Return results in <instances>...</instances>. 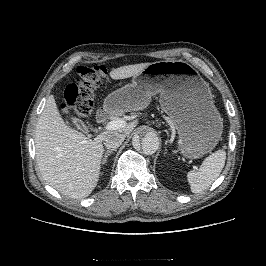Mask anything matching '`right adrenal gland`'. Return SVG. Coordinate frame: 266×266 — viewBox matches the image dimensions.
Segmentation results:
<instances>
[{"label":"right adrenal gland","instance_id":"2a0ac1e0","mask_svg":"<svg viewBox=\"0 0 266 266\" xmlns=\"http://www.w3.org/2000/svg\"><path fill=\"white\" fill-rule=\"evenodd\" d=\"M113 151H116V149H110V150H107V151H106V153L104 154V158L102 159L101 164H105V163L107 162V158H108V156H109Z\"/></svg>","mask_w":266,"mask_h":266}]
</instances>
